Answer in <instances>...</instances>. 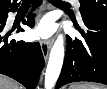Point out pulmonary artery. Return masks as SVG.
<instances>
[{
  "mask_svg": "<svg viewBox=\"0 0 107 89\" xmlns=\"http://www.w3.org/2000/svg\"><path fill=\"white\" fill-rule=\"evenodd\" d=\"M73 3L75 4L76 8L80 7V3L77 0L73 1ZM78 16H79V19H81V15L78 14Z\"/></svg>",
  "mask_w": 107,
  "mask_h": 89,
  "instance_id": "obj_1",
  "label": "pulmonary artery"
}]
</instances>
